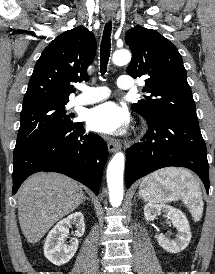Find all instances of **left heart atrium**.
I'll return each mask as SVG.
<instances>
[{
    "instance_id": "obj_1",
    "label": "left heart atrium",
    "mask_w": 215,
    "mask_h": 274,
    "mask_svg": "<svg viewBox=\"0 0 215 274\" xmlns=\"http://www.w3.org/2000/svg\"><path fill=\"white\" fill-rule=\"evenodd\" d=\"M88 126L97 132L107 135H120L129 125V115L125 108L114 102L100 104L88 113Z\"/></svg>"
}]
</instances>
